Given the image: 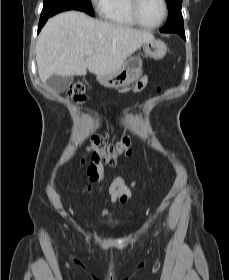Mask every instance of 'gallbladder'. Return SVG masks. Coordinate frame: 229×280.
<instances>
[{"mask_svg": "<svg viewBox=\"0 0 229 280\" xmlns=\"http://www.w3.org/2000/svg\"><path fill=\"white\" fill-rule=\"evenodd\" d=\"M73 82L72 76L53 75L47 80V86L56 93H63Z\"/></svg>", "mask_w": 229, "mask_h": 280, "instance_id": "gallbladder-1", "label": "gallbladder"}]
</instances>
